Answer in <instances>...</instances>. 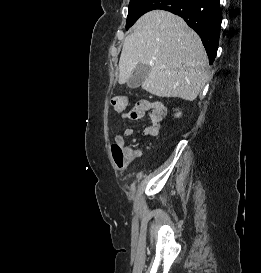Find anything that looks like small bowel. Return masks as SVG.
I'll return each instance as SVG.
<instances>
[{
	"label": "small bowel",
	"mask_w": 261,
	"mask_h": 273,
	"mask_svg": "<svg viewBox=\"0 0 261 273\" xmlns=\"http://www.w3.org/2000/svg\"><path fill=\"white\" fill-rule=\"evenodd\" d=\"M140 102L144 106V112L146 110L151 109V113H150L151 124L145 128L144 134L147 136L158 135V133L160 132L161 123L165 114L164 106L158 102H150V101H140ZM121 116L123 119L131 120L129 118V112H124L121 114ZM133 132H134L133 129L131 127H128L124 130L123 137H130L133 135ZM126 152H127V158H128L127 165H129L130 163L134 162L136 159L142 156L141 150L135 147H127Z\"/></svg>",
	"instance_id": "1"
}]
</instances>
